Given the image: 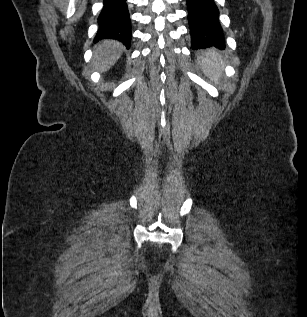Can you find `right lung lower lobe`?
Here are the masks:
<instances>
[{
	"label": "right lung lower lobe",
	"mask_w": 307,
	"mask_h": 317,
	"mask_svg": "<svg viewBox=\"0 0 307 317\" xmlns=\"http://www.w3.org/2000/svg\"><path fill=\"white\" fill-rule=\"evenodd\" d=\"M104 6L98 17L99 29L94 41L115 39L127 48L131 44V22L126 0H103Z\"/></svg>",
	"instance_id": "98d812e1"
}]
</instances>
